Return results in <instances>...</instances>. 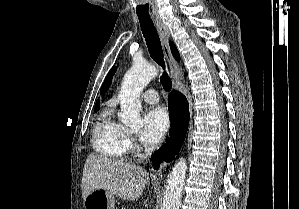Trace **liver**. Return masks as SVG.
<instances>
[{"instance_id":"6515ba94","label":"liver","mask_w":299,"mask_h":209,"mask_svg":"<svg viewBox=\"0 0 299 209\" xmlns=\"http://www.w3.org/2000/svg\"><path fill=\"white\" fill-rule=\"evenodd\" d=\"M148 179L149 173L140 166L90 154L83 169L82 197L104 189L125 200H136Z\"/></svg>"}]
</instances>
